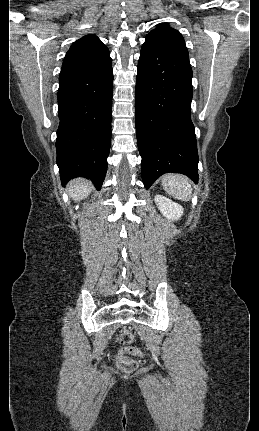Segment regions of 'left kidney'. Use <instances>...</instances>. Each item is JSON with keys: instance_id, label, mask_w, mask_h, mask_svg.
<instances>
[{"instance_id": "5707ae66", "label": "left kidney", "mask_w": 259, "mask_h": 431, "mask_svg": "<svg viewBox=\"0 0 259 431\" xmlns=\"http://www.w3.org/2000/svg\"><path fill=\"white\" fill-rule=\"evenodd\" d=\"M155 203L160 212L169 220H178L183 215L182 206L165 196L156 195Z\"/></svg>"}]
</instances>
